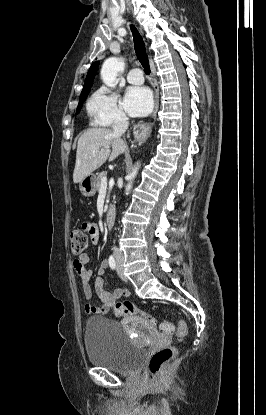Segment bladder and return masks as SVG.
Here are the masks:
<instances>
[{
  "mask_svg": "<svg viewBox=\"0 0 266 415\" xmlns=\"http://www.w3.org/2000/svg\"><path fill=\"white\" fill-rule=\"evenodd\" d=\"M84 344L89 362L117 373L139 369L146 350L135 344L117 321L106 317L86 320Z\"/></svg>",
  "mask_w": 266,
  "mask_h": 415,
  "instance_id": "31cf9c89",
  "label": "bladder"
}]
</instances>
